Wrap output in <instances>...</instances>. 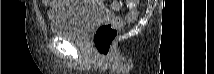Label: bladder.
I'll list each match as a JSON object with an SVG mask.
<instances>
[{
  "instance_id": "1",
  "label": "bladder",
  "mask_w": 214,
  "mask_h": 74,
  "mask_svg": "<svg viewBox=\"0 0 214 74\" xmlns=\"http://www.w3.org/2000/svg\"><path fill=\"white\" fill-rule=\"evenodd\" d=\"M104 16V11L92 1H73L51 21L54 35L73 41L84 40L88 30Z\"/></svg>"
}]
</instances>
